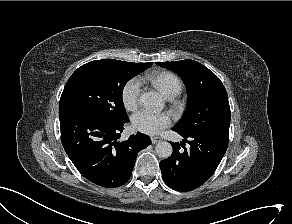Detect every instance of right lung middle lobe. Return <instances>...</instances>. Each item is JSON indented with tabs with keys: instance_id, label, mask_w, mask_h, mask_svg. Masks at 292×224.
I'll return each instance as SVG.
<instances>
[{
	"instance_id": "dd1d6c3e",
	"label": "right lung middle lobe",
	"mask_w": 292,
	"mask_h": 224,
	"mask_svg": "<svg viewBox=\"0 0 292 224\" xmlns=\"http://www.w3.org/2000/svg\"><path fill=\"white\" fill-rule=\"evenodd\" d=\"M147 69L138 63L115 59L95 60L79 67L67 81L59 110L80 108L108 123L127 119L122 100L125 84Z\"/></svg>"
}]
</instances>
